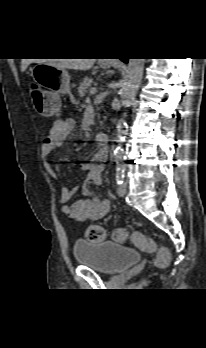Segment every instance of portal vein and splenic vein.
<instances>
[{
	"instance_id": "obj_1",
	"label": "portal vein and splenic vein",
	"mask_w": 206,
	"mask_h": 348,
	"mask_svg": "<svg viewBox=\"0 0 206 348\" xmlns=\"http://www.w3.org/2000/svg\"><path fill=\"white\" fill-rule=\"evenodd\" d=\"M97 92V89L96 88H91L90 89V94L93 95Z\"/></svg>"
}]
</instances>
